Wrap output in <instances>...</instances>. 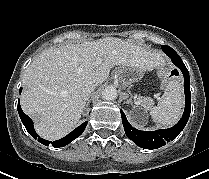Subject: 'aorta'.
I'll return each mask as SVG.
<instances>
[{
    "label": "aorta",
    "instance_id": "762f6f07",
    "mask_svg": "<svg viewBox=\"0 0 209 179\" xmlns=\"http://www.w3.org/2000/svg\"><path fill=\"white\" fill-rule=\"evenodd\" d=\"M102 98L107 101L115 100L117 98V90L115 87L108 86L102 91Z\"/></svg>",
    "mask_w": 209,
    "mask_h": 179
}]
</instances>
